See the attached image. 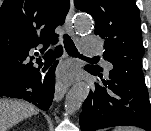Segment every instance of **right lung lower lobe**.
Returning a JSON list of instances; mask_svg holds the SVG:
<instances>
[{
	"label": "right lung lower lobe",
	"mask_w": 151,
	"mask_h": 131,
	"mask_svg": "<svg viewBox=\"0 0 151 131\" xmlns=\"http://www.w3.org/2000/svg\"><path fill=\"white\" fill-rule=\"evenodd\" d=\"M62 52L63 49L60 46L57 49V56H61ZM57 63L53 64L45 77H42L38 70L33 75L5 89H0V96L23 99L43 110H48L54 98L55 68Z\"/></svg>",
	"instance_id": "1"
}]
</instances>
